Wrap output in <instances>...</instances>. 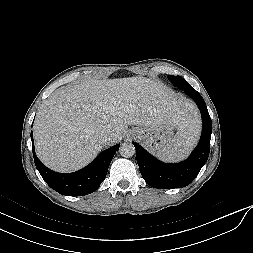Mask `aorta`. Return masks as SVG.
Wrapping results in <instances>:
<instances>
[{
	"label": "aorta",
	"instance_id": "obj_1",
	"mask_svg": "<svg viewBox=\"0 0 253 253\" xmlns=\"http://www.w3.org/2000/svg\"><path fill=\"white\" fill-rule=\"evenodd\" d=\"M119 153L122 157L130 158L135 154V147L132 143H123L119 147Z\"/></svg>",
	"mask_w": 253,
	"mask_h": 253
}]
</instances>
